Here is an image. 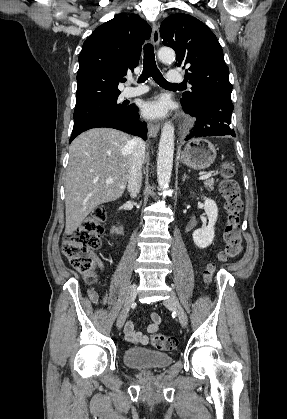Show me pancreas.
Here are the masks:
<instances>
[{"label": "pancreas", "mask_w": 287, "mask_h": 419, "mask_svg": "<svg viewBox=\"0 0 287 419\" xmlns=\"http://www.w3.org/2000/svg\"><path fill=\"white\" fill-rule=\"evenodd\" d=\"M204 185H205V188H207L208 190H213L214 189V179L205 180Z\"/></svg>", "instance_id": "obj_1"}]
</instances>
